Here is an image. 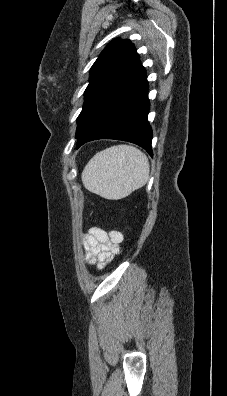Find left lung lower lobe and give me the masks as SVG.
Returning <instances> with one entry per match:
<instances>
[{
  "mask_svg": "<svg viewBox=\"0 0 227 396\" xmlns=\"http://www.w3.org/2000/svg\"><path fill=\"white\" fill-rule=\"evenodd\" d=\"M148 110V81L141 65L96 105L76 138L77 149L107 138L135 143L152 155Z\"/></svg>",
  "mask_w": 227,
  "mask_h": 396,
  "instance_id": "1",
  "label": "left lung lower lobe"
}]
</instances>
